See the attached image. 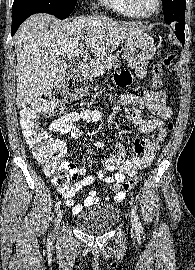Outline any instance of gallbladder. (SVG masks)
I'll return each instance as SVG.
<instances>
[{"label":"gallbladder","instance_id":"gallbladder-1","mask_svg":"<svg viewBox=\"0 0 195 270\" xmlns=\"http://www.w3.org/2000/svg\"><path fill=\"white\" fill-rule=\"evenodd\" d=\"M77 73V67L74 63H70L69 65V70H68V75L69 76H74Z\"/></svg>","mask_w":195,"mask_h":270}]
</instances>
